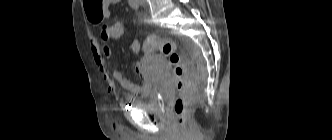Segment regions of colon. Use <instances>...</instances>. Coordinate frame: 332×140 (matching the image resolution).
<instances>
[{"mask_svg":"<svg viewBox=\"0 0 332 140\" xmlns=\"http://www.w3.org/2000/svg\"><path fill=\"white\" fill-rule=\"evenodd\" d=\"M84 7L89 20L99 22L104 15L105 0H83ZM126 31L125 23L116 21L110 24H104L101 32L111 37L113 40L124 35ZM143 52H159L161 55L168 57L173 74L176 79L175 89L176 98L174 101V112L180 125L185 124L189 113L191 112L195 98L193 95V75L191 64L187 56L176 50L175 44L165 38L149 36L143 46Z\"/></svg>","mask_w":332,"mask_h":140,"instance_id":"colon-1","label":"colon"}]
</instances>
